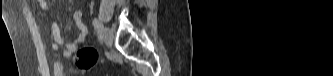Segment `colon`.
Segmentation results:
<instances>
[{
    "label": "colon",
    "instance_id": "obj_1",
    "mask_svg": "<svg viewBox=\"0 0 333 76\" xmlns=\"http://www.w3.org/2000/svg\"><path fill=\"white\" fill-rule=\"evenodd\" d=\"M97 60V51L91 46H86L77 52L75 64L80 70L87 72L95 66Z\"/></svg>",
    "mask_w": 333,
    "mask_h": 76
}]
</instances>
